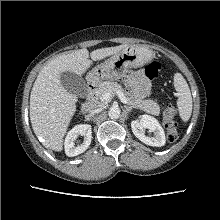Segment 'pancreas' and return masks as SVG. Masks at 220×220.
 I'll list each match as a JSON object with an SVG mask.
<instances>
[{"label": "pancreas", "instance_id": "cf45deb5", "mask_svg": "<svg viewBox=\"0 0 220 220\" xmlns=\"http://www.w3.org/2000/svg\"><path fill=\"white\" fill-rule=\"evenodd\" d=\"M121 91L127 97L131 107L141 109L149 114L158 116L160 114V107L156 101L152 99H143L138 92H125L120 84L117 82L105 81L102 82L99 87L94 91L95 106L103 107L107 102L101 99L102 95L106 92H110L112 95L116 94V91Z\"/></svg>", "mask_w": 220, "mask_h": 220}]
</instances>
